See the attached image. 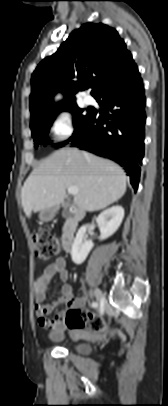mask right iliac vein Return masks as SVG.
Returning a JSON list of instances; mask_svg holds the SVG:
<instances>
[{
    "label": "right iliac vein",
    "mask_w": 168,
    "mask_h": 406,
    "mask_svg": "<svg viewBox=\"0 0 168 406\" xmlns=\"http://www.w3.org/2000/svg\"><path fill=\"white\" fill-rule=\"evenodd\" d=\"M95 298H96L97 302L101 301L103 298V293L99 288L95 289Z\"/></svg>",
    "instance_id": "1"
}]
</instances>
